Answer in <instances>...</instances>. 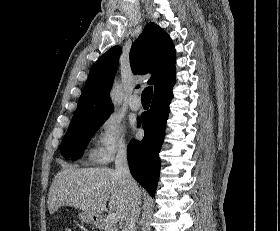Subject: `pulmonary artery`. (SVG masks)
Masks as SVG:
<instances>
[{
  "label": "pulmonary artery",
  "instance_id": "e3ab8cb5",
  "mask_svg": "<svg viewBox=\"0 0 280 231\" xmlns=\"http://www.w3.org/2000/svg\"><path fill=\"white\" fill-rule=\"evenodd\" d=\"M137 97H138L137 95H133L129 99V106L134 111H137L141 108V103L135 100Z\"/></svg>",
  "mask_w": 280,
  "mask_h": 231
}]
</instances>
